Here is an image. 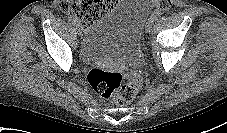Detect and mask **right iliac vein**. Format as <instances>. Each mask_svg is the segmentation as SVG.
<instances>
[{
  "label": "right iliac vein",
  "instance_id": "63e3f726",
  "mask_svg": "<svg viewBox=\"0 0 227 133\" xmlns=\"http://www.w3.org/2000/svg\"><path fill=\"white\" fill-rule=\"evenodd\" d=\"M75 28H76L77 33H78L79 35H81V34H82V31H81L80 26H79L78 24H75Z\"/></svg>",
  "mask_w": 227,
  "mask_h": 133
}]
</instances>
